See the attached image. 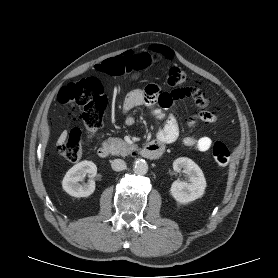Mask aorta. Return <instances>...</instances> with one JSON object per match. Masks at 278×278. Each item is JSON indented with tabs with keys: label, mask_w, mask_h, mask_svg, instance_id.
Segmentation results:
<instances>
[{
	"label": "aorta",
	"mask_w": 278,
	"mask_h": 278,
	"mask_svg": "<svg viewBox=\"0 0 278 278\" xmlns=\"http://www.w3.org/2000/svg\"><path fill=\"white\" fill-rule=\"evenodd\" d=\"M133 170L136 174L144 175L148 171V164L144 159H137L134 162Z\"/></svg>",
	"instance_id": "762f6f07"
}]
</instances>
